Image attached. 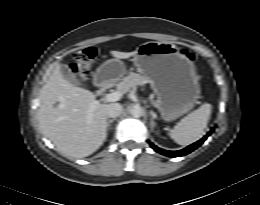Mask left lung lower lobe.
<instances>
[{"label": "left lung lower lobe", "mask_w": 260, "mask_h": 205, "mask_svg": "<svg viewBox=\"0 0 260 205\" xmlns=\"http://www.w3.org/2000/svg\"><path fill=\"white\" fill-rule=\"evenodd\" d=\"M213 131H214V129H211V131L206 136H204L201 140H199L198 142H196L182 150H179V151L164 150V149L158 148L153 143H150V142L149 143H150V146L158 153H161L168 157H179V156H184V155L190 153L191 151L195 150L197 147H199Z\"/></svg>", "instance_id": "obj_1"}]
</instances>
